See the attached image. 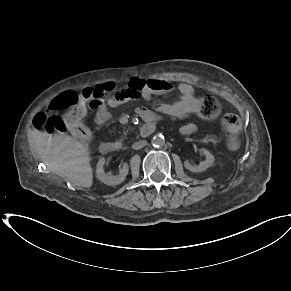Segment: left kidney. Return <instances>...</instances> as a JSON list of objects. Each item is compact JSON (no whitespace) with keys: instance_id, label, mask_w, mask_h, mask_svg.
Instances as JSON below:
<instances>
[{"instance_id":"obj_1","label":"left kidney","mask_w":291,"mask_h":291,"mask_svg":"<svg viewBox=\"0 0 291 291\" xmlns=\"http://www.w3.org/2000/svg\"><path fill=\"white\" fill-rule=\"evenodd\" d=\"M202 152L206 156L205 161L200 162L199 165H197V166H194V165L190 164L188 161H186L184 163L185 168L191 172L199 173V172H203L206 169H208L209 167H211L212 164L214 163V160H215L214 156L207 149L203 148Z\"/></svg>"}]
</instances>
